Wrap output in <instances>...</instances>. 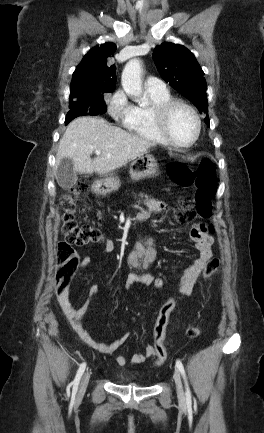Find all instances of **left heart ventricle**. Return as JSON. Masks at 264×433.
Returning <instances> with one entry per match:
<instances>
[{
    "label": "left heart ventricle",
    "mask_w": 264,
    "mask_h": 433,
    "mask_svg": "<svg viewBox=\"0 0 264 433\" xmlns=\"http://www.w3.org/2000/svg\"><path fill=\"white\" fill-rule=\"evenodd\" d=\"M195 130V120L187 109L177 108L173 111L169 120V132L176 142L182 144L189 142Z\"/></svg>",
    "instance_id": "left-heart-ventricle-1"
}]
</instances>
